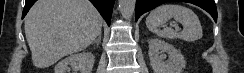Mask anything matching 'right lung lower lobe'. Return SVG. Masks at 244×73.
<instances>
[{"instance_id": "right-lung-lower-lobe-1", "label": "right lung lower lobe", "mask_w": 244, "mask_h": 73, "mask_svg": "<svg viewBox=\"0 0 244 73\" xmlns=\"http://www.w3.org/2000/svg\"><path fill=\"white\" fill-rule=\"evenodd\" d=\"M37 0H25V7L23 10L22 18L25 17L31 6ZM97 8L102 17L106 20L107 24L110 25L112 9L115 0H89Z\"/></svg>"}]
</instances>
